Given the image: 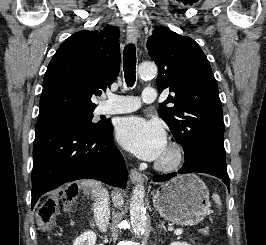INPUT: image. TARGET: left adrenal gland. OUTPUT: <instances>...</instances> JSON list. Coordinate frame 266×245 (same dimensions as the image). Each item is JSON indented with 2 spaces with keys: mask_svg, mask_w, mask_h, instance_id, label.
<instances>
[{
  "mask_svg": "<svg viewBox=\"0 0 266 245\" xmlns=\"http://www.w3.org/2000/svg\"><path fill=\"white\" fill-rule=\"evenodd\" d=\"M165 223H161V225H159V229L160 227H162V229H164V231H167L166 227H164Z\"/></svg>",
  "mask_w": 266,
  "mask_h": 245,
  "instance_id": "1",
  "label": "left adrenal gland"
}]
</instances>
